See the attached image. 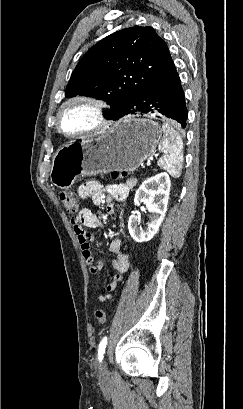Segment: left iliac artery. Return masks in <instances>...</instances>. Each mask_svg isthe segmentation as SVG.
I'll return each mask as SVG.
<instances>
[{"label":"left iliac artery","instance_id":"left-iliac-artery-1","mask_svg":"<svg viewBox=\"0 0 243 409\" xmlns=\"http://www.w3.org/2000/svg\"><path fill=\"white\" fill-rule=\"evenodd\" d=\"M107 345V337H104L100 344H99V348H98V359L101 361L103 359V355L105 353V348Z\"/></svg>","mask_w":243,"mask_h":409}]
</instances>
